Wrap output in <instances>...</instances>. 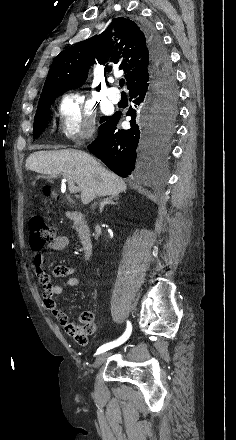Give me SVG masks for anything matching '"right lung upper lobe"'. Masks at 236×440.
Segmentation results:
<instances>
[{
  "instance_id": "1",
  "label": "right lung upper lobe",
  "mask_w": 236,
  "mask_h": 440,
  "mask_svg": "<svg viewBox=\"0 0 236 440\" xmlns=\"http://www.w3.org/2000/svg\"><path fill=\"white\" fill-rule=\"evenodd\" d=\"M96 60L105 65V71L112 70L109 64L124 70L129 92L151 80V57L142 27L119 17L100 35L62 51L54 59L40 99L83 84Z\"/></svg>"
}]
</instances>
